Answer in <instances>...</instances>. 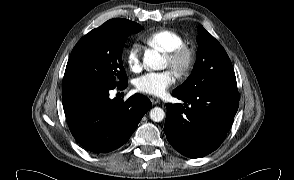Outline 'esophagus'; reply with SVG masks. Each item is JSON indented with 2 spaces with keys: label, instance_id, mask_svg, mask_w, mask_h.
Segmentation results:
<instances>
[{
  "label": "esophagus",
  "instance_id": "1",
  "mask_svg": "<svg viewBox=\"0 0 294 180\" xmlns=\"http://www.w3.org/2000/svg\"><path fill=\"white\" fill-rule=\"evenodd\" d=\"M151 102H152L153 105H155V104H159L161 101L158 98L152 97Z\"/></svg>",
  "mask_w": 294,
  "mask_h": 180
}]
</instances>
